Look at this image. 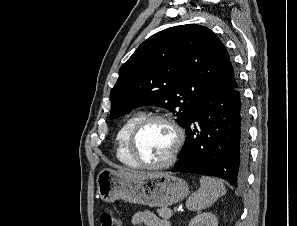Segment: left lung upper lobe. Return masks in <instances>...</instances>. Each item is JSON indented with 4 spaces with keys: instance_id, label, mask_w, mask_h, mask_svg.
<instances>
[{
    "instance_id": "left-lung-upper-lobe-1",
    "label": "left lung upper lobe",
    "mask_w": 297,
    "mask_h": 226,
    "mask_svg": "<svg viewBox=\"0 0 297 226\" xmlns=\"http://www.w3.org/2000/svg\"><path fill=\"white\" fill-rule=\"evenodd\" d=\"M236 86L229 54L216 34L200 25L175 26L145 40L122 65L110 115L156 105L173 112L183 127L206 91Z\"/></svg>"
}]
</instances>
